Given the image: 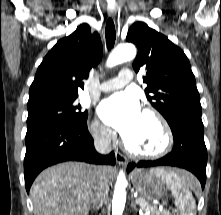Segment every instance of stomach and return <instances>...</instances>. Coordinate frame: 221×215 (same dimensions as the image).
<instances>
[{
	"instance_id": "stomach-1",
	"label": "stomach",
	"mask_w": 221,
	"mask_h": 215,
	"mask_svg": "<svg viewBox=\"0 0 221 215\" xmlns=\"http://www.w3.org/2000/svg\"><path fill=\"white\" fill-rule=\"evenodd\" d=\"M157 170H136L132 173V181L137 192L148 200L162 198L166 194V183Z\"/></svg>"
}]
</instances>
